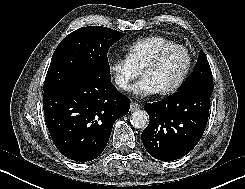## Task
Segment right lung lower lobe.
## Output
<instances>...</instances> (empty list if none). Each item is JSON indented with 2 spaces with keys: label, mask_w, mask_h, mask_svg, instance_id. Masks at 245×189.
<instances>
[{
  "label": "right lung lower lobe",
  "mask_w": 245,
  "mask_h": 189,
  "mask_svg": "<svg viewBox=\"0 0 245 189\" xmlns=\"http://www.w3.org/2000/svg\"><path fill=\"white\" fill-rule=\"evenodd\" d=\"M110 80V72L95 70L44 92L49 133L67 158L78 162L97 158L108 143L113 123L128 113L129 99Z\"/></svg>",
  "instance_id": "right-lung-lower-lobe-1"
}]
</instances>
